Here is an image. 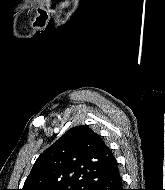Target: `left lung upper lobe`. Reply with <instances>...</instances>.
<instances>
[{
    "label": "left lung upper lobe",
    "instance_id": "obj_1",
    "mask_svg": "<svg viewBox=\"0 0 165 190\" xmlns=\"http://www.w3.org/2000/svg\"><path fill=\"white\" fill-rule=\"evenodd\" d=\"M114 163L98 134L76 126L40 154L22 190H92Z\"/></svg>",
    "mask_w": 165,
    "mask_h": 190
}]
</instances>
